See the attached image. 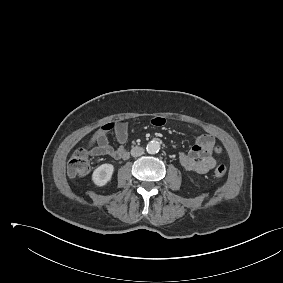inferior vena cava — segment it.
Returning <instances> with one entry per match:
<instances>
[{"label":"inferior vena cava","instance_id":"1","mask_svg":"<svg viewBox=\"0 0 283 283\" xmlns=\"http://www.w3.org/2000/svg\"><path fill=\"white\" fill-rule=\"evenodd\" d=\"M143 153H144V149H143L142 147L136 146V147H133V148L131 149V155H132L133 157L141 156Z\"/></svg>","mask_w":283,"mask_h":283}]
</instances>
